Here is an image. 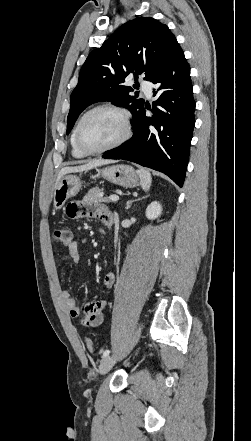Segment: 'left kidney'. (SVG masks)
<instances>
[{
	"label": "left kidney",
	"instance_id": "1",
	"mask_svg": "<svg viewBox=\"0 0 251 441\" xmlns=\"http://www.w3.org/2000/svg\"><path fill=\"white\" fill-rule=\"evenodd\" d=\"M162 214V206L159 202H152L146 209V217L149 220H155Z\"/></svg>",
	"mask_w": 251,
	"mask_h": 441
}]
</instances>
